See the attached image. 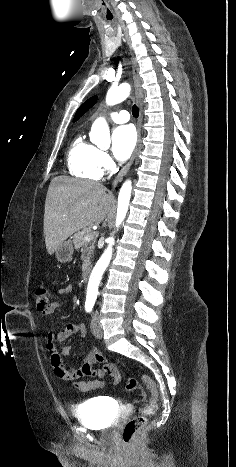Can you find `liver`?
<instances>
[{"label": "liver", "mask_w": 236, "mask_h": 467, "mask_svg": "<svg viewBox=\"0 0 236 467\" xmlns=\"http://www.w3.org/2000/svg\"><path fill=\"white\" fill-rule=\"evenodd\" d=\"M111 198L97 182L66 176L52 179L45 200L43 233L46 249L52 255L73 233L106 217Z\"/></svg>", "instance_id": "1"}]
</instances>
